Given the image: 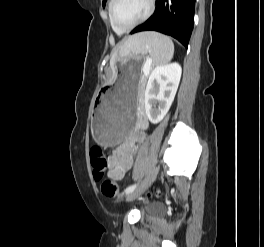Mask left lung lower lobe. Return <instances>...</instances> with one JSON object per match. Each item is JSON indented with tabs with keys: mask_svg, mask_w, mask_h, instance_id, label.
<instances>
[{
	"mask_svg": "<svg viewBox=\"0 0 264 247\" xmlns=\"http://www.w3.org/2000/svg\"><path fill=\"white\" fill-rule=\"evenodd\" d=\"M195 0H156L154 14L131 31H157L177 39L186 48L193 29Z\"/></svg>",
	"mask_w": 264,
	"mask_h": 247,
	"instance_id": "obj_1",
	"label": "left lung lower lobe"
}]
</instances>
